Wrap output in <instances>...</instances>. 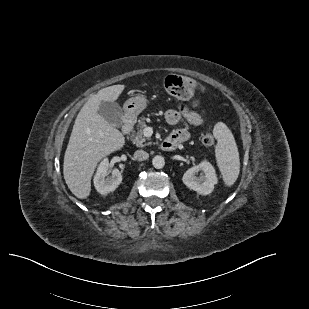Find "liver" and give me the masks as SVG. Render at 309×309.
<instances>
[{
	"mask_svg": "<svg viewBox=\"0 0 309 309\" xmlns=\"http://www.w3.org/2000/svg\"><path fill=\"white\" fill-rule=\"evenodd\" d=\"M124 89V85H113L99 90L76 117L65 151L63 174L68 188L79 199L90 195L98 162L125 144L123 134L98 113L102 101H116Z\"/></svg>",
	"mask_w": 309,
	"mask_h": 309,
	"instance_id": "1",
	"label": "liver"
}]
</instances>
